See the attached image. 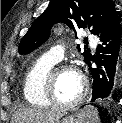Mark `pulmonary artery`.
<instances>
[{"mask_svg": "<svg viewBox=\"0 0 122 123\" xmlns=\"http://www.w3.org/2000/svg\"><path fill=\"white\" fill-rule=\"evenodd\" d=\"M88 39L91 45L95 47L97 44L96 37L93 35H89ZM64 50H65L64 46L57 45V46L52 47L49 51H47L45 56H47L48 58H50L51 60L55 62H59L64 56Z\"/></svg>", "mask_w": 122, "mask_h": 123, "instance_id": "e3ab8cb5", "label": "pulmonary artery"}]
</instances>
